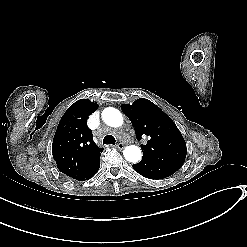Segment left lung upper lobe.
<instances>
[{"instance_id": "left-lung-upper-lobe-1", "label": "left lung upper lobe", "mask_w": 247, "mask_h": 247, "mask_svg": "<svg viewBox=\"0 0 247 247\" xmlns=\"http://www.w3.org/2000/svg\"><path fill=\"white\" fill-rule=\"evenodd\" d=\"M125 115L135 128L138 140L147 136V144L141 145L143 156L161 160L180 168L186 158L185 140L173 122L157 105L150 100L140 98L121 106Z\"/></svg>"}]
</instances>
